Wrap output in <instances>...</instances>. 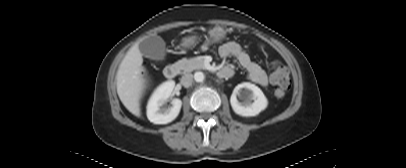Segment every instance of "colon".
Returning a JSON list of instances; mask_svg holds the SVG:
<instances>
[{
    "mask_svg": "<svg viewBox=\"0 0 406 168\" xmlns=\"http://www.w3.org/2000/svg\"><path fill=\"white\" fill-rule=\"evenodd\" d=\"M271 80L274 95L276 97H283L289 88L287 69L279 63H274V71Z\"/></svg>",
    "mask_w": 406,
    "mask_h": 168,
    "instance_id": "1",
    "label": "colon"
}]
</instances>
